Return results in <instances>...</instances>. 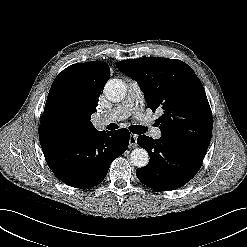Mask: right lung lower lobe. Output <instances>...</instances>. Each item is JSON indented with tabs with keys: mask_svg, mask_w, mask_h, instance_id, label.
<instances>
[{
	"mask_svg": "<svg viewBox=\"0 0 247 247\" xmlns=\"http://www.w3.org/2000/svg\"><path fill=\"white\" fill-rule=\"evenodd\" d=\"M130 133L122 128L75 137L39 127L46 162L65 184L90 188L101 183L114 159L128 148Z\"/></svg>",
	"mask_w": 247,
	"mask_h": 247,
	"instance_id": "obj_1",
	"label": "right lung lower lobe"
}]
</instances>
